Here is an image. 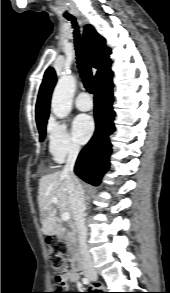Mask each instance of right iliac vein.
<instances>
[{
    "instance_id": "1",
    "label": "right iliac vein",
    "mask_w": 170,
    "mask_h": 293,
    "mask_svg": "<svg viewBox=\"0 0 170 293\" xmlns=\"http://www.w3.org/2000/svg\"><path fill=\"white\" fill-rule=\"evenodd\" d=\"M98 275L97 271H92L87 274V277L94 278Z\"/></svg>"
}]
</instances>
